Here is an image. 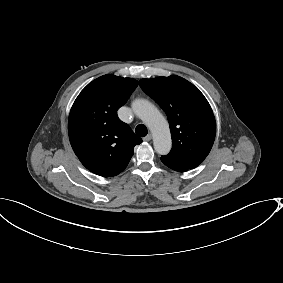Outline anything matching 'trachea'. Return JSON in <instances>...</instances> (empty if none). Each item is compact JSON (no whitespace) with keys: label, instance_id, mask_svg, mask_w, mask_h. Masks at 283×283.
Returning <instances> with one entry per match:
<instances>
[{"label":"trachea","instance_id":"trachea-1","mask_svg":"<svg viewBox=\"0 0 283 283\" xmlns=\"http://www.w3.org/2000/svg\"><path fill=\"white\" fill-rule=\"evenodd\" d=\"M135 132L138 136L140 137H145L148 133V130L146 128V126L144 124H139L136 128H135Z\"/></svg>","mask_w":283,"mask_h":283}]
</instances>
